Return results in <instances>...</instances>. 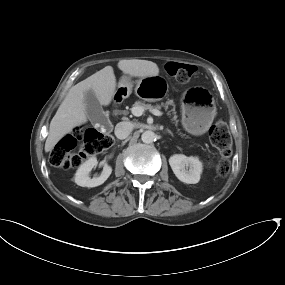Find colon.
<instances>
[{"label":"colon","mask_w":285,"mask_h":285,"mask_svg":"<svg viewBox=\"0 0 285 285\" xmlns=\"http://www.w3.org/2000/svg\"><path fill=\"white\" fill-rule=\"evenodd\" d=\"M166 70L170 76L185 82L192 77L195 67L170 61L166 64ZM209 139L222 156L216 166V172L219 176H225L230 167L229 158L232 152V139L227 124L224 121H218L212 125L209 130ZM110 143L109 135L76 128L64 136L52 150L50 163L54 167L63 169L76 168L81 164L83 157L107 148Z\"/></svg>","instance_id":"1"}]
</instances>
